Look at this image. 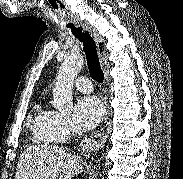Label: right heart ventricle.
<instances>
[{"mask_svg": "<svg viewBox=\"0 0 183 179\" xmlns=\"http://www.w3.org/2000/svg\"><path fill=\"white\" fill-rule=\"evenodd\" d=\"M52 113L53 111L44 108L39 103L34 107L33 113L30 116L29 126L41 142H49L52 140L48 128Z\"/></svg>", "mask_w": 183, "mask_h": 179, "instance_id": "obj_1", "label": "right heart ventricle"}]
</instances>
